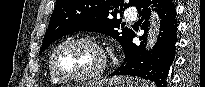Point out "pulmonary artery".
Here are the masks:
<instances>
[{
  "label": "pulmonary artery",
  "instance_id": "pulmonary-artery-1",
  "mask_svg": "<svg viewBox=\"0 0 205 87\" xmlns=\"http://www.w3.org/2000/svg\"><path fill=\"white\" fill-rule=\"evenodd\" d=\"M125 16H126V18L129 19V20H134V19H135V12L132 11V10H130V9H128V10H126V12H125Z\"/></svg>",
  "mask_w": 205,
  "mask_h": 87
}]
</instances>
